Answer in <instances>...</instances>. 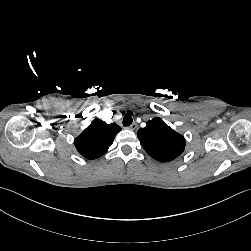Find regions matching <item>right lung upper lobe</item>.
Segmentation results:
<instances>
[{
  "mask_svg": "<svg viewBox=\"0 0 251 251\" xmlns=\"http://www.w3.org/2000/svg\"><path fill=\"white\" fill-rule=\"evenodd\" d=\"M119 131L121 128L116 123L107 124L100 119H95L75 139L74 144L82 156L96 159L106 153Z\"/></svg>",
  "mask_w": 251,
  "mask_h": 251,
  "instance_id": "obj_1",
  "label": "right lung upper lobe"
}]
</instances>
